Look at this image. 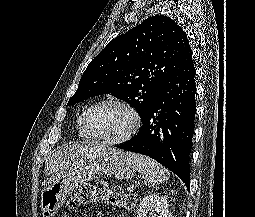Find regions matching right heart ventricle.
Segmentation results:
<instances>
[{"label":"right heart ventricle","mask_w":255,"mask_h":217,"mask_svg":"<svg viewBox=\"0 0 255 217\" xmlns=\"http://www.w3.org/2000/svg\"><path fill=\"white\" fill-rule=\"evenodd\" d=\"M82 116H83V114H81L77 119V128H78L79 135L82 138H90L83 128Z\"/></svg>","instance_id":"right-heart-ventricle-1"}]
</instances>
